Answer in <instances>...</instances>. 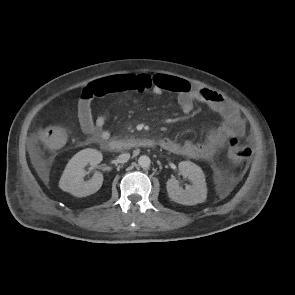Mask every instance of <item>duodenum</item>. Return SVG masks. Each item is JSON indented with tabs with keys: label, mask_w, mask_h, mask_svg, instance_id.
<instances>
[{
	"label": "duodenum",
	"mask_w": 295,
	"mask_h": 295,
	"mask_svg": "<svg viewBox=\"0 0 295 295\" xmlns=\"http://www.w3.org/2000/svg\"><path fill=\"white\" fill-rule=\"evenodd\" d=\"M100 146L105 151L116 152L138 147L151 148L155 146V141L152 139L106 140L101 141Z\"/></svg>",
	"instance_id": "1"
}]
</instances>
